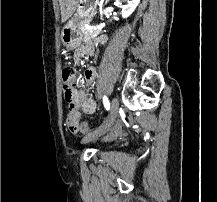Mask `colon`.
<instances>
[{
  "mask_svg": "<svg viewBox=\"0 0 217 202\" xmlns=\"http://www.w3.org/2000/svg\"><path fill=\"white\" fill-rule=\"evenodd\" d=\"M61 74L65 101L71 111H76L80 108V102H88V100L86 96H79L82 95V90H76V87H74V82H78L79 78L72 69H61ZM75 119L74 115L65 118L66 126L70 131H75ZM80 122L82 123L80 128L82 134H90L91 130L87 129V125L83 121Z\"/></svg>",
  "mask_w": 217,
  "mask_h": 202,
  "instance_id": "colon-1",
  "label": "colon"
}]
</instances>
